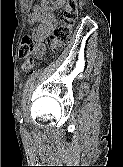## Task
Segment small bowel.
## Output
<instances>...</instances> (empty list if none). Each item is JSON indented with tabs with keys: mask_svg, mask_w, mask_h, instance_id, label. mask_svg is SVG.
Returning <instances> with one entry per match:
<instances>
[{
	"mask_svg": "<svg viewBox=\"0 0 123 167\" xmlns=\"http://www.w3.org/2000/svg\"><path fill=\"white\" fill-rule=\"evenodd\" d=\"M49 2L50 0H45ZM60 0H53V2H59ZM53 8V7H51ZM29 22H37V27L32 31V38L34 40L35 57H41L45 50V40L49 38L56 28L58 21L54 14L51 12L38 8L35 13L29 17Z\"/></svg>",
	"mask_w": 123,
	"mask_h": 167,
	"instance_id": "c3829d8e",
	"label": "small bowel"
}]
</instances>
